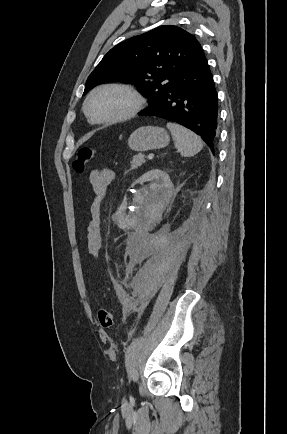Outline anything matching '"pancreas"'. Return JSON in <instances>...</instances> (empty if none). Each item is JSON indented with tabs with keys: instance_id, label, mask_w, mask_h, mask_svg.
I'll return each mask as SVG.
<instances>
[{
	"instance_id": "1",
	"label": "pancreas",
	"mask_w": 287,
	"mask_h": 434,
	"mask_svg": "<svg viewBox=\"0 0 287 434\" xmlns=\"http://www.w3.org/2000/svg\"><path fill=\"white\" fill-rule=\"evenodd\" d=\"M145 162L143 155L139 154L133 157L132 161H131V166L130 168L132 170L137 169L138 167H140L143 163Z\"/></svg>"
}]
</instances>
